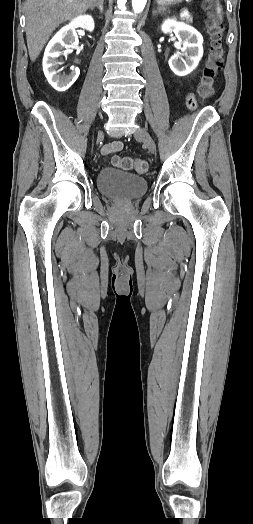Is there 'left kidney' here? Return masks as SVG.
Masks as SVG:
<instances>
[{"label":"left kidney","instance_id":"left-kidney-1","mask_svg":"<svg viewBox=\"0 0 253 524\" xmlns=\"http://www.w3.org/2000/svg\"><path fill=\"white\" fill-rule=\"evenodd\" d=\"M161 29L165 34L175 33L183 45L181 52L169 59L171 70L178 76L188 75L198 66L203 56L202 35L193 27L174 19L165 20Z\"/></svg>","mask_w":253,"mask_h":524}]
</instances>
